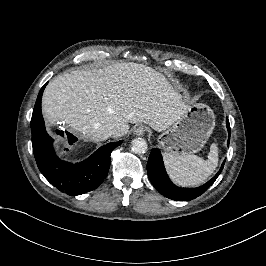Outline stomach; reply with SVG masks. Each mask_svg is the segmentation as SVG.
<instances>
[{"label": "stomach", "instance_id": "1", "mask_svg": "<svg viewBox=\"0 0 266 266\" xmlns=\"http://www.w3.org/2000/svg\"><path fill=\"white\" fill-rule=\"evenodd\" d=\"M215 128V114L206 104L191 106L188 113L171 125L158 137L165 152L173 155H189L199 152Z\"/></svg>", "mask_w": 266, "mask_h": 266}]
</instances>
